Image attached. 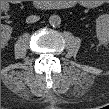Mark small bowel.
Segmentation results:
<instances>
[{
  "instance_id": "c3829d8e",
  "label": "small bowel",
  "mask_w": 109,
  "mask_h": 109,
  "mask_svg": "<svg viewBox=\"0 0 109 109\" xmlns=\"http://www.w3.org/2000/svg\"><path fill=\"white\" fill-rule=\"evenodd\" d=\"M90 6H94V4H89Z\"/></svg>"
}]
</instances>
